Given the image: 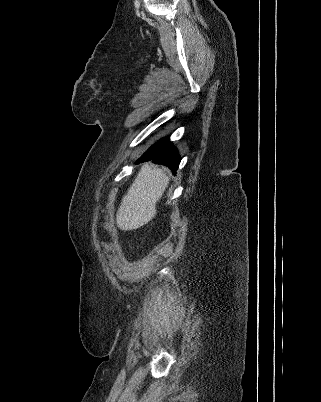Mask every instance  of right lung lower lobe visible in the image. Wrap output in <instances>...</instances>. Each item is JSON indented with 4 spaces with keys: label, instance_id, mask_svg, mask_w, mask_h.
Masks as SVG:
<instances>
[{
    "label": "right lung lower lobe",
    "instance_id": "obj_1",
    "mask_svg": "<svg viewBox=\"0 0 321 402\" xmlns=\"http://www.w3.org/2000/svg\"><path fill=\"white\" fill-rule=\"evenodd\" d=\"M153 160L156 164L169 167L176 172L180 163V157L176 148L172 145L169 137L163 138L150 147L137 162Z\"/></svg>",
    "mask_w": 321,
    "mask_h": 402
}]
</instances>
